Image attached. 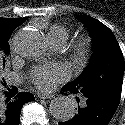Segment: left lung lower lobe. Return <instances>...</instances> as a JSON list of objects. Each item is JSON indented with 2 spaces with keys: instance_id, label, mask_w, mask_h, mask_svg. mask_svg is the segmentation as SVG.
I'll return each mask as SVG.
<instances>
[{
  "instance_id": "1",
  "label": "left lung lower lobe",
  "mask_w": 125,
  "mask_h": 125,
  "mask_svg": "<svg viewBox=\"0 0 125 125\" xmlns=\"http://www.w3.org/2000/svg\"><path fill=\"white\" fill-rule=\"evenodd\" d=\"M63 90H69L66 86ZM120 94H103L83 97L84 106L68 121L59 125H107L113 117L119 102ZM79 101V98H77Z\"/></svg>"
}]
</instances>
